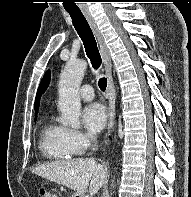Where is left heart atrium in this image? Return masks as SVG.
<instances>
[{"mask_svg":"<svg viewBox=\"0 0 191 197\" xmlns=\"http://www.w3.org/2000/svg\"><path fill=\"white\" fill-rule=\"evenodd\" d=\"M83 122L89 132L95 134L101 131L106 124V110L99 103L88 105L83 110Z\"/></svg>","mask_w":191,"mask_h":197,"instance_id":"left-heart-atrium-1","label":"left heart atrium"}]
</instances>
